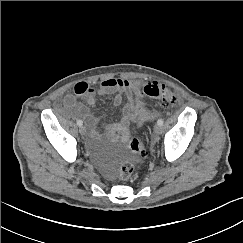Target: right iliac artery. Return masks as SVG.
<instances>
[{
    "label": "right iliac artery",
    "mask_w": 243,
    "mask_h": 243,
    "mask_svg": "<svg viewBox=\"0 0 243 243\" xmlns=\"http://www.w3.org/2000/svg\"><path fill=\"white\" fill-rule=\"evenodd\" d=\"M77 125H78V126H82V125H83V122H82L81 120H78V121H77Z\"/></svg>",
    "instance_id": "82829eb1"
}]
</instances>
